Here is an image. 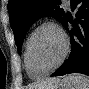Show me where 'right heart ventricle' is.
<instances>
[{"label": "right heart ventricle", "instance_id": "e07e8e85", "mask_svg": "<svg viewBox=\"0 0 89 89\" xmlns=\"http://www.w3.org/2000/svg\"><path fill=\"white\" fill-rule=\"evenodd\" d=\"M28 40L29 37L26 41V45H25V52H24V63H25V69L27 74L31 77V78H40L42 77L41 74H39L37 71H35L34 69H32V67L30 66L29 60H28V56H27V45H28Z\"/></svg>", "mask_w": 89, "mask_h": 89}]
</instances>
